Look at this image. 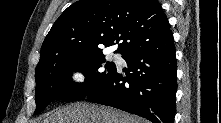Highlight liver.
Masks as SVG:
<instances>
[{"mask_svg":"<svg viewBox=\"0 0 221 123\" xmlns=\"http://www.w3.org/2000/svg\"><path fill=\"white\" fill-rule=\"evenodd\" d=\"M42 123H147L125 112L83 102L58 108Z\"/></svg>","mask_w":221,"mask_h":123,"instance_id":"1","label":"liver"}]
</instances>
